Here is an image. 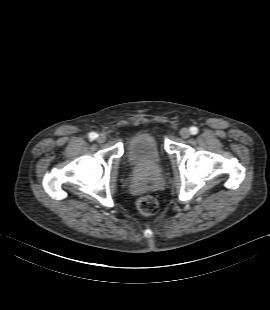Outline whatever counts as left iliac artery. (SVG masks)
Segmentation results:
<instances>
[{
	"label": "left iliac artery",
	"mask_w": 270,
	"mask_h": 310,
	"mask_svg": "<svg viewBox=\"0 0 270 310\" xmlns=\"http://www.w3.org/2000/svg\"><path fill=\"white\" fill-rule=\"evenodd\" d=\"M190 132H191V134L195 135V134L198 133V128L193 126V127L190 128Z\"/></svg>",
	"instance_id": "1"
}]
</instances>
